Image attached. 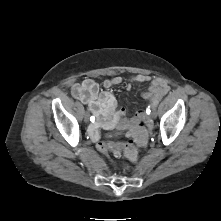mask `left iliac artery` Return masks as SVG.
<instances>
[{"label":"left iliac artery","instance_id":"1","mask_svg":"<svg viewBox=\"0 0 221 221\" xmlns=\"http://www.w3.org/2000/svg\"><path fill=\"white\" fill-rule=\"evenodd\" d=\"M154 107H155V104L152 106V108L154 109ZM150 109H147V113H150Z\"/></svg>","mask_w":221,"mask_h":221}]
</instances>
